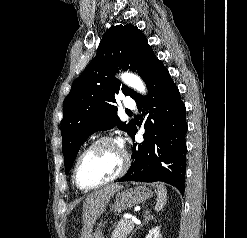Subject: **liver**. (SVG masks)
<instances>
[{
  "instance_id": "liver-1",
  "label": "liver",
  "mask_w": 247,
  "mask_h": 238,
  "mask_svg": "<svg viewBox=\"0 0 247 238\" xmlns=\"http://www.w3.org/2000/svg\"><path fill=\"white\" fill-rule=\"evenodd\" d=\"M122 185L111 184L103 187L86 198L83 203V231L81 238H91V231L95 221L104 212L110 198L122 189Z\"/></svg>"
}]
</instances>
